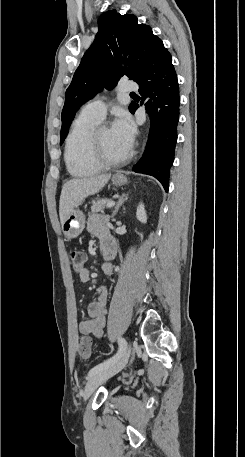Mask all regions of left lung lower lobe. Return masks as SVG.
I'll return each mask as SVG.
<instances>
[{"label": "left lung lower lobe", "mask_w": 245, "mask_h": 457, "mask_svg": "<svg viewBox=\"0 0 245 457\" xmlns=\"http://www.w3.org/2000/svg\"><path fill=\"white\" fill-rule=\"evenodd\" d=\"M135 82L143 96L141 104L147 99L150 132L145 153L133 170L154 176L168 191L177 143L180 97L172 57L163 44L149 55ZM138 107L132 102L129 110L134 113Z\"/></svg>", "instance_id": "0a47b994"}]
</instances>
